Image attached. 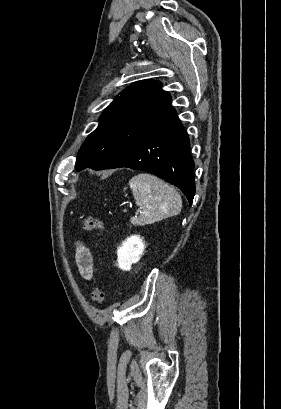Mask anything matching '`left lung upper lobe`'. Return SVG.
Returning a JSON list of instances; mask_svg holds the SVG:
<instances>
[{"label":"left lung upper lobe","mask_w":281,"mask_h":409,"mask_svg":"<svg viewBox=\"0 0 281 409\" xmlns=\"http://www.w3.org/2000/svg\"><path fill=\"white\" fill-rule=\"evenodd\" d=\"M171 96L158 81L143 80L127 87L106 108L98 127L79 150L75 169L99 170L129 146L176 115Z\"/></svg>","instance_id":"left-lung-upper-lobe-1"}]
</instances>
